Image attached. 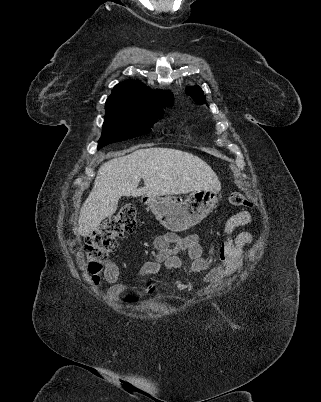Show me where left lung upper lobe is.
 Returning a JSON list of instances; mask_svg holds the SVG:
<instances>
[{
	"label": "left lung upper lobe",
	"instance_id": "1",
	"mask_svg": "<svg viewBox=\"0 0 321 402\" xmlns=\"http://www.w3.org/2000/svg\"><path fill=\"white\" fill-rule=\"evenodd\" d=\"M186 93L191 96L196 102L200 104H204L206 102L205 97L203 96V91L201 90L200 87L194 86L191 88H188L186 90Z\"/></svg>",
	"mask_w": 321,
	"mask_h": 402
}]
</instances>
